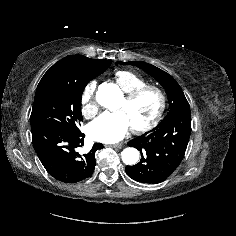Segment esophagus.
<instances>
[{
  "label": "esophagus",
  "instance_id": "1",
  "mask_svg": "<svg viewBox=\"0 0 236 236\" xmlns=\"http://www.w3.org/2000/svg\"><path fill=\"white\" fill-rule=\"evenodd\" d=\"M108 147H113V148H122L123 144L119 143V144H114V145H108Z\"/></svg>",
  "mask_w": 236,
  "mask_h": 236
}]
</instances>
